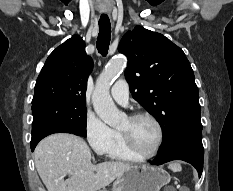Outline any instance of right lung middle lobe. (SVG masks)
Instances as JSON below:
<instances>
[{
    "instance_id": "obj_1",
    "label": "right lung middle lobe",
    "mask_w": 233,
    "mask_h": 191,
    "mask_svg": "<svg viewBox=\"0 0 233 191\" xmlns=\"http://www.w3.org/2000/svg\"><path fill=\"white\" fill-rule=\"evenodd\" d=\"M32 135L47 129H62L86 137V104L58 98L32 101Z\"/></svg>"
}]
</instances>
